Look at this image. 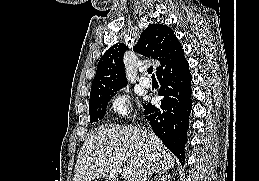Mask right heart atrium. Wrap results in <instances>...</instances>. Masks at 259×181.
Returning <instances> with one entry per match:
<instances>
[{"label":"right heart atrium","mask_w":259,"mask_h":181,"mask_svg":"<svg viewBox=\"0 0 259 181\" xmlns=\"http://www.w3.org/2000/svg\"><path fill=\"white\" fill-rule=\"evenodd\" d=\"M109 110L118 117H127L132 110V103L127 94L114 95L109 102Z\"/></svg>","instance_id":"1"}]
</instances>
